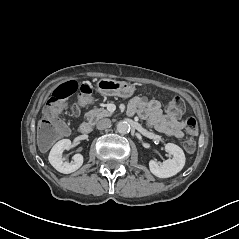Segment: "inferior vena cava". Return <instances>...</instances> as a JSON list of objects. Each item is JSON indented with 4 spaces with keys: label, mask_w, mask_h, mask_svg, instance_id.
<instances>
[{
    "label": "inferior vena cava",
    "mask_w": 239,
    "mask_h": 239,
    "mask_svg": "<svg viewBox=\"0 0 239 239\" xmlns=\"http://www.w3.org/2000/svg\"><path fill=\"white\" fill-rule=\"evenodd\" d=\"M110 126H111V120L109 118H104L97 122V128L99 130H104L106 128H109Z\"/></svg>",
    "instance_id": "1"
}]
</instances>
